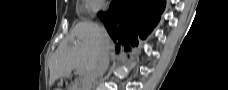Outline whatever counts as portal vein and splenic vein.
<instances>
[{
    "label": "portal vein and splenic vein",
    "mask_w": 228,
    "mask_h": 90,
    "mask_svg": "<svg viewBox=\"0 0 228 90\" xmlns=\"http://www.w3.org/2000/svg\"><path fill=\"white\" fill-rule=\"evenodd\" d=\"M76 71L79 74V76H83L84 75V71L81 68H76Z\"/></svg>",
    "instance_id": "obj_1"
}]
</instances>
